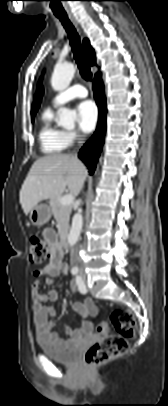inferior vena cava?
Listing matches in <instances>:
<instances>
[{"mask_svg": "<svg viewBox=\"0 0 168 406\" xmlns=\"http://www.w3.org/2000/svg\"><path fill=\"white\" fill-rule=\"evenodd\" d=\"M79 143H83L82 141H79ZM75 157H76V155H75Z\"/></svg>", "mask_w": 168, "mask_h": 406, "instance_id": "1", "label": "inferior vena cava"}]
</instances>
